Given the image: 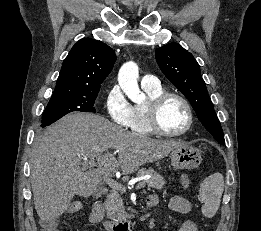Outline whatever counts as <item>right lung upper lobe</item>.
<instances>
[{
    "label": "right lung upper lobe",
    "mask_w": 261,
    "mask_h": 231,
    "mask_svg": "<svg viewBox=\"0 0 261 231\" xmlns=\"http://www.w3.org/2000/svg\"><path fill=\"white\" fill-rule=\"evenodd\" d=\"M115 60L116 55L108 45L83 38L65 58L55 90H100Z\"/></svg>",
    "instance_id": "1"
}]
</instances>
